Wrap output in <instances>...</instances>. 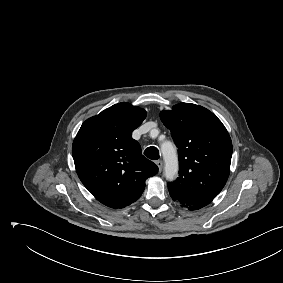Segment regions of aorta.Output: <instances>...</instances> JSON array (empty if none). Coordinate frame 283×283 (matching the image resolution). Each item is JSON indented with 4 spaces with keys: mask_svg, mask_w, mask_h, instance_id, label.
Masks as SVG:
<instances>
[{
    "mask_svg": "<svg viewBox=\"0 0 283 283\" xmlns=\"http://www.w3.org/2000/svg\"><path fill=\"white\" fill-rule=\"evenodd\" d=\"M161 149L165 160L166 178L173 179L178 172V159L176 151L171 143H164Z\"/></svg>",
    "mask_w": 283,
    "mask_h": 283,
    "instance_id": "762f6f07",
    "label": "aorta"
}]
</instances>
